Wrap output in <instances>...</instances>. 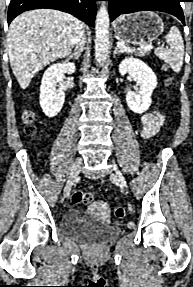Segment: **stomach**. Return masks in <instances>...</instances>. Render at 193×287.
Returning <instances> with one entry per match:
<instances>
[{
	"label": "stomach",
	"mask_w": 193,
	"mask_h": 287,
	"mask_svg": "<svg viewBox=\"0 0 193 287\" xmlns=\"http://www.w3.org/2000/svg\"><path fill=\"white\" fill-rule=\"evenodd\" d=\"M114 30L123 41L144 45L162 34L164 23L156 13L143 11L121 16L116 21Z\"/></svg>",
	"instance_id": "1"
}]
</instances>
